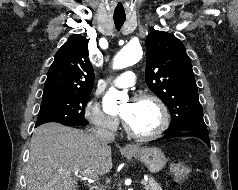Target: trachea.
Here are the masks:
<instances>
[{
	"instance_id": "obj_1",
	"label": "trachea",
	"mask_w": 238,
	"mask_h": 190,
	"mask_svg": "<svg viewBox=\"0 0 238 190\" xmlns=\"http://www.w3.org/2000/svg\"><path fill=\"white\" fill-rule=\"evenodd\" d=\"M125 22V18H114V23H115V26H116V29H120L123 24Z\"/></svg>"
}]
</instances>
